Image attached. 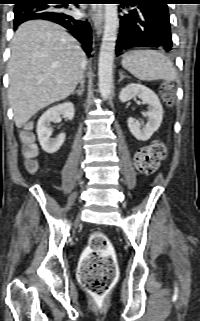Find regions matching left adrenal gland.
Returning a JSON list of instances; mask_svg holds the SVG:
<instances>
[{
  "mask_svg": "<svg viewBox=\"0 0 200 321\" xmlns=\"http://www.w3.org/2000/svg\"><path fill=\"white\" fill-rule=\"evenodd\" d=\"M119 76H120L119 82H121L125 77H128V76L123 75V73L121 71L119 72Z\"/></svg>",
  "mask_w": 200,
  "mask_h": 321,
  "instance_id": "obj_1",
  "label": "left adrenal gland"
}]
</instances>
